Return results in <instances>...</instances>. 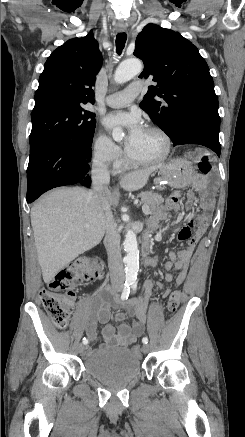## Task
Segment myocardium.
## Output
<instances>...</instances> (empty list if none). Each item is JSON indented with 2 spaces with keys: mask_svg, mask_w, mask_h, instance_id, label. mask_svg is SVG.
I'll use <instances>...</instances> for the list:
<instances>
[{
  "mask_svg": "<svg viewBox=\"0 0 245 437\" xmlns=\"http://www.w3.org/2000/svg\"><path fill=\"white\" fill-rule=\"evenodd\" d=\"M145 130L155 132L162 138L164 144L162 152L158 156L150 159L134 158L129 154V152H127V160L134 165H154L165 161L169 157L172 150V140L169 134L163 128L157 125H148L145 127Z\"/></svg>",
  "mask_w": 245,
  "mask_h": 437,
  "instance_id": "f54148a6",
  "label": "myocardium"
}]
</instances>
